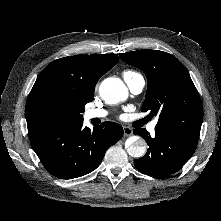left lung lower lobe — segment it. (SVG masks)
<instances>
[{
  "label": "left lung lower lobe",
  "mask_w": 221,
  "mask_h": 221,
  "mask_svg": "<svg viewBox=\"0 0 221 221\" xmlns=\"http://www.w3.org/2000/svg\"><path fill=\"white\" fill-rule=\"evenodd\" d=\"M133 133L142 136L149 145L146 154L134 161L135 167L147 175L156 177L177 172L193 155L198 143L157 128L154 137L144 128L135 129Z\"/></svg>",
  "instance_id": "1"
}]
</instances>
